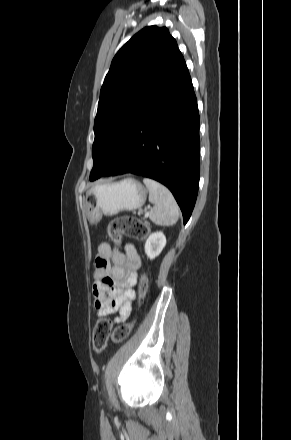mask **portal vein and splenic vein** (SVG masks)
Wrapping results in <instances>:
<instances>
[{
    "mask_svg": "<svg viewBox=\"0 0 291 440\" xmlns=\"http://www.w3.org/2000/svg\"><path fill=\"white\" fill-rule=\"evenodd\" d=\"M147 216H148V213L145 214V217H147Z\"/></svg>",
    "mask_w": 291,
    "mask_h": 440,
    "instance_id": "portal-vein-and-splenic-vein-1",
    "label": "portal vein and splenic vein"
}]
</instances>
